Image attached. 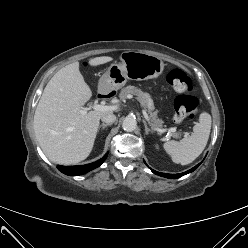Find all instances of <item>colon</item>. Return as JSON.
Wrapping results in <instances>:
<instances>
[{
    "mask_svg": "<svg viewBox=\"0 0 248 248\" xmlns=\"http://www.w3.org/2000/svg\"><path fill=\"white\" fill-rule=\"evenodd\" d=\"M167 81L178 93L175 99V121L194 120L198 113L199 104L197 98L192 95L191 79L181 69H172L167 75Z\"/></svg>",
    "mask_w": 248,
    "mask_h": 248,
    "instance_id": "5ec220e1",
    "label": "colon"
}]
</instances>
